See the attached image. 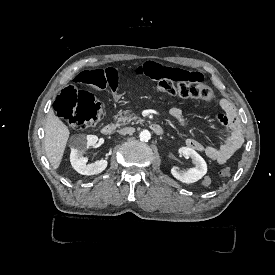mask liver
Here are the masks:
<instances>
[{
    "label": "liver",
    "instance_id": "obj_1",
    "mask_svg": "<svg viewBox=\"0 0 275 275\" xmlns=\"http://www.w3.org/2000/svg\"><path fill=\"white\" fill-rule=\"evenodd\" d=\"M69 134L68 127L50 109L45 124L44 146L53 169H57L61 163Z\"/></svg>",
    "mask_w": 275,
    "mask_h": 275
}]
</instances>
